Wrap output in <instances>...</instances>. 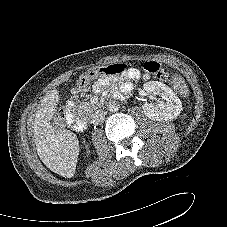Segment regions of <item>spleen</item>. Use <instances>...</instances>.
<instances>
[{"label":"spleen","mask_w":227,"mask_h":227,"mask_svg":"<svg viewBox=\"0 0 227 227\" xmlns=\"http://www.w3.org/2000/svg\"><path fill=\"white\" fill-rule=\"evenodd\" d=\"M173 88L176 90L180 95L186 97L189 93L188 87L185 84L182 78H176L173 82Z\"/></svg>","instance_id":"1"}]
</instances>
